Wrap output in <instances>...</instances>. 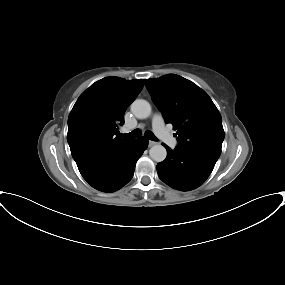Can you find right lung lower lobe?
<instances>
[{"instance_id":"obj_1","label":"right lung lower lobe","mask_w":285,"mask_h":285,"mask_svg":"<svg viewBox=\"0 0 285 285\" xmlns=\"http://www.w3.org/2000/svg\"><path fill=\"white\" fill-rule=\"evenodd\" d=\"M147 146L145 137L130 140L97 156L79 171L93 188L114 192L131 180L136 162Z\"/></svg>"}]
</instances>
